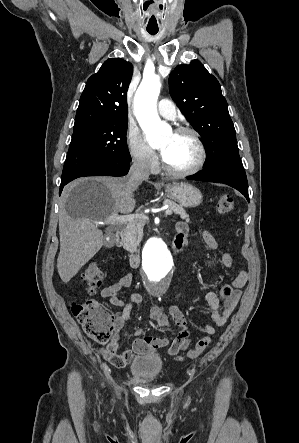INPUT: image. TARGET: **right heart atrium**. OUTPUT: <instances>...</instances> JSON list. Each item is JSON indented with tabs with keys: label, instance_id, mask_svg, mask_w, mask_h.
<instances>
[{
	"label": "right heart atrium",
	"instance_id": "d8ad5b80",
	"mask_svg": "<svg viewBox=\"0 0 299 443\" xmlns=\"http://www.w3.org/2000/svg\"><path fill=\"white\" fill-rule=\"evenodd\" d=\"M126 146L135 165L146 171H152L157 165L155 152L146 144L140 130L130 125L125 134Z\"/></svg>",
	"mask_w": 299,
	"mask_h": 443
}]
</instances>
